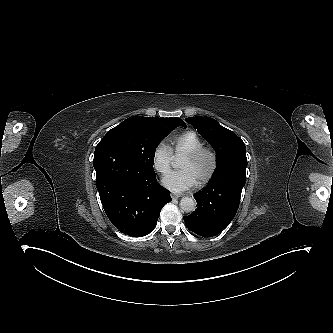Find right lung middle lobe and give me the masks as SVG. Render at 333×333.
<instances>
[{"label":"right lung middle lobe","mask_w":333,"mask_h":333,"mask_svg":"<svg viewBox=\"0 0 333 333\" xmlns=\"http://www.w3.org/2000/svg\"><path fill=\"white\" fill-rule=\"evenodd\" d=\"M178 126L186 127V124L167 118L132 116L109 130L96 149L106 141L115 142L126 150L140 165L154 170L156 147Z\"/></svg>","instance_id":"1"}]
</instances>
